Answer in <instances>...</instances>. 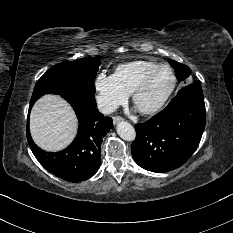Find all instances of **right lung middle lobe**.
Instances as JSON below:
<instances>
[{
	"label": "right lung middle lobe",
	"instance_id": "right-lung-middle-lobe-1",
	"mask_svg": "<svg viewBox=\"0 0 233 233\" xmlns=\"http://www.w3.org/2000/svg\"><path fill=\"white\" fill-rule=\"evenodd\" d=\"M100 64L98 59L91 57L52 66L36 84L31 99L47 93L94 98V80Z\"/></svg>",
	"mask_w": 233,
	"mask_h": 233
}]
</instances>
